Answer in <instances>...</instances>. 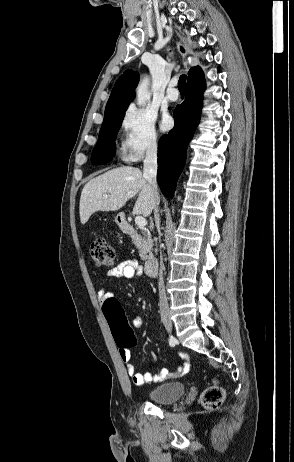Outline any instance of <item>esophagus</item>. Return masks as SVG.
Listing matches in <instances>:
<instances>
[{"instance_id": "obj_1", "label": "esophagus", "mask_w": 294, "mask_h": 462, "mask_svg": "<svg viewBox=\"0 0 294 462\" xmlns=\"http://www.w3.org/2000/svg\"><path fill=\"white\" fill-rule=\"evenodd\" d=\"M177 49H178L180 55H181L183 58L187 56L188 50H187L186 46H185L183 43L178 42V43H177Z\"/></svg>"}]
</instances>
